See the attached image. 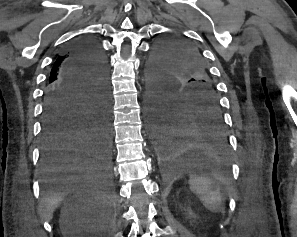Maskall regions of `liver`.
Masks as SVG:
<instances>
[{
    "label": "liver",
    "mask_w": 297,
    "mask_h": 237,
    "mask_svg": "<svg viewBox=\"0 0 297 237\" xmlns=\"http://www.w3.org/2000/svg\"><path fill=\"white\" fill-rule=\"evenodd\" d=\"M65 191L81 190L85 186L92 183V179L89 176H69L64 180ZM66 192L54 195L44 200V205L47 210L48 217L51 218L54 210L58 204L62 201Z\"/></svg>",
    "instance_id": "1"
}]
</instances>
